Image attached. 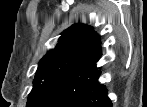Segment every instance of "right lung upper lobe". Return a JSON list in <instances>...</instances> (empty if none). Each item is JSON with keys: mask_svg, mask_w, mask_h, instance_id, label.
Segmentation results:
<instances>
[{"mask_svg": "<svg viewBox=\"0 0 147 107\" xmlns=\"http://www.w3.org/2000/svg\"><path fill=\"white\" fill-rule=\"evenodd\" d=\"M101 56L99 35L91 26L77 23L64 30L55 48L43 56L36 76L96 69Z\"/></svg>", "mask_w": 147, "mask_h": 107, "instance_id": "cb5924a9", "label": "right lung upper lobe"}]
</instances>
